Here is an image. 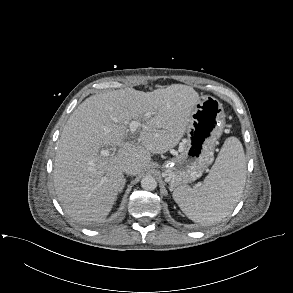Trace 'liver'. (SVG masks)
<instances>
[{"label": "liver", "instance_id": "obj_1", "mask_svg": "<svg viewBox=\"0 0 293 293\" xmlns=\"http://www.w3.org/2000/svg\"><path fill=\"white\" fill-rule=\"evenodd\" d=\"M199 99L192 87L174 84L152 92L115 90L83 101L57 143L53 179L65 212L82 223L106 218L125 185L123 166L134 164L137 175L152 154L174 148ZM132 119L141 123L137 143L127 140ZM104 147H110L108 156L100 154Z\"/></svg>", "mask_w": 293, "mask_h": 293}]
</instances>
